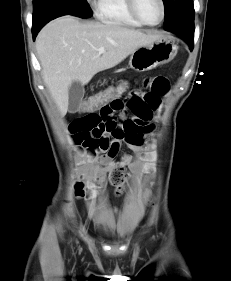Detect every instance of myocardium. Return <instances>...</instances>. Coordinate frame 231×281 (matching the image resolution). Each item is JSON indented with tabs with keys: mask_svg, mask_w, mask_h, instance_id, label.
I'll return each instance as SVG.
<instances>
[{
	"mask_svg": "<svg viewBox=\"0 0 231 281\" xmlns=\"http://www.w3.org/2000/svg\"><path fill=\"white\" fill-rule=\"evenodd\" d=\"M160 4H161V18L157 23H148L147 21H145L143 19V17L141 16V14L139 13L138 7H137V0H127V4H128V8L131 12V14L133 15V17L140 22L142 25L148 26V27H156L158 25H160L166 16V6H165V1L164 0H159Z\"/></svg>",
	"mask_w": 231,
	"mask_h": 281,
	"instance_id": "myocardium-1",
	"label": "myocardium"
}]
</instances>
